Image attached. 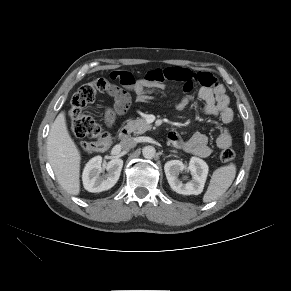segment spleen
<instances>
[{
	"mask_svg": "<svg viewBox=\"0 0 291 291\" xmlns=\"http://www.w3.org/2000/svg\"><path fill=\"white\" fill-rule=\"evenodd\" d=\"M235 175L236 165L233 163L216 169L211 176L209 186L203 196V202L208 203L222 196L231 186Z\"/></svg>",
	"mask_w": 291,
	"mask_h": 291,
	"instance_id": "1",
	"label": "spleen"
}]
</instances>
